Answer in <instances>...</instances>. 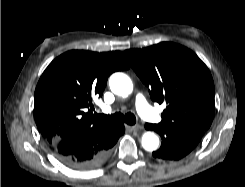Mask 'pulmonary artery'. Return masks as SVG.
<instances>
[{"mask_svg":"<svg viewBox=\"0 0 245 187\" xmlns=\"http://www.w3.org/2000/svg\"><path fill=\"white\" fill-rule=\"evenodd\" d=\"M135 106L139 115L145 120L152 122H160L161 117L154 111V109L148 104L146 98L142 94H137L135 97ZM110 111V109H106Z\"/></svg>","mask_w":245,"mask_h":187,"instance_id":"pulmonary-artery-1","label":"pulmonary artery"}]
</instances>
